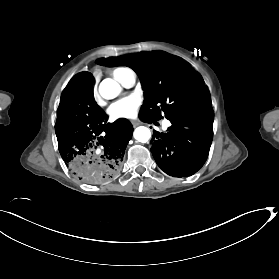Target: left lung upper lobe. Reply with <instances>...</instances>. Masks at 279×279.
<instances>
[{
	"label": "left lung upper lobe",
	"instance_id": "1",
	"mask_svg": "<svg viewBox=\"0 0 279 279\" xmlns=\"http://www.w3.org/2000/svg\"><path fill=\"white\" fill-rule=\"evenodd\" d=\"M103 66H128L138 75L144 102L141 117L169 120L212 111L211 97L202 78L184 60L161 51L102 58Z\"/></svg>",
	"mask_w": 279,
	"mask_h": 279
}]
</instances>
